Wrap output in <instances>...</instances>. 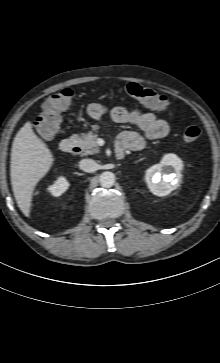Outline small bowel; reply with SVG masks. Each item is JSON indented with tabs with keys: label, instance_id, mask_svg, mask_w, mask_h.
Here are the masks:
<instances>
[{
	"label": "small bowel",
	"instance_id": "small-bowel-1",
	"mask_svg": "<svg viewBox=\"0 0 220 363\" xmlns=\"http://www.w3.org/2000/svg\"><path fill=\"white\" fill-rule=\"evenodd\" d=\"M90 118L100 120L108 118L116 123L136 125L142 133L123 131L117 138V147L130 150L142 149L147 140L160 139L168 135L169 124L155 111L127 110L122 107L107 108L100 103H91L87 107Z\"/></svg>",
	"mask_w": 220,
	"mask_h": 363
}]
</instances>
